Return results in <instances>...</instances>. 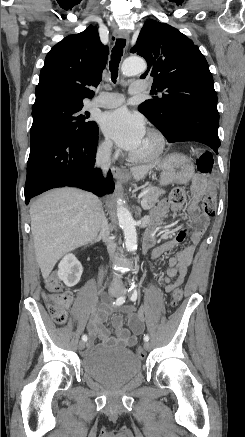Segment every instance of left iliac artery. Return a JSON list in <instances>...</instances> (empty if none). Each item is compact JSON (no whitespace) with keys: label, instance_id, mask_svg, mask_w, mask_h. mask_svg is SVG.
<instances>
[{"label":"left iliac artery","instance_id":"1","mask_svg":"<svg viewBox=\"0 0 245 437\" xmlns=\"http://www.w3.org/2000/svg\"><path fill=\"white\" fill-rule=\"evenodd\" d=\"M130 300L131 301H136L137 297H138V293H137V289H136V285L132 284L130 289ZM149 340V336L148 335H144V341H148Z\"/></svg>","mask_w":245,"mask_h":437}]
</instances>
